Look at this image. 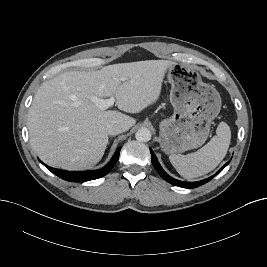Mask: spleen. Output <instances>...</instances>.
<instances>
[{
  "mask_svg": "<svg viewBox=\"0 0 267 267\" xmlns=\"http://www.w3.org/2000/svg\"><path fill=\"white\" fill-rule=\"evenodd\" d=\"M230 140V127L226 122H221L216 135L201 149L187 155L172 154L169 160L183 178L191 180L211 172L219 165L227 154Z\"/></svg>",
  "mask_w": 267,
  "mask_h": 267,
  "instance_id": "1",
  "label": "spleen"
}]
</instances>
